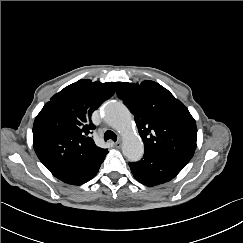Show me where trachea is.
I'll return each instance as SVG.
<instances>
[{
  "label": "trachea",
  "mask_w": 243,
  "mask_h": 243,
  "mask_svg": "<svg viewBox=\"0 0 243 243\" xmlns=\"http://www.w3.org/2000/svg\"><path fill=\"white\" fill-rule=\"evenodd\" d=\"M113 140V141H116L117 140V135L113 132V131H106L105 134H104V140L107 141V140Z\"/></svg>",
  "instance_id": "3493384b"
}]
</instances>
